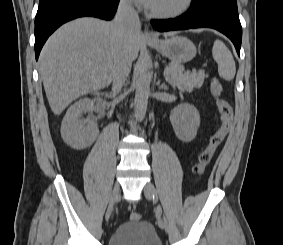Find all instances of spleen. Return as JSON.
Instances as JSON below:
<instances>
[{
  "label": "spleen",
  "mask_w": 283,
  "mask_h": 245,
  "mask_svg": "<svg viewBox=\"0 0 283 245\" xmlns=\"http://www.w3.org/2000/svg\"><path fill=\"white\" fill-rule=\"evenodd\" d=\"M213 59L218 64L219 76L227 81L233 80L236 66L233 56L221 40H216L212 48Z\"/></svg>",
  "instance_id": "3e777b00"
}]
</instances>
